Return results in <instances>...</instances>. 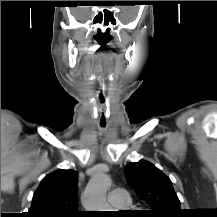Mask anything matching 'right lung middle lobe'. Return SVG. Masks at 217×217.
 Returning <instances> with one entry per match:
<instances>
[{
	"label": "right lung middle lobe",
	"mask_w": 217,
	"mask_h": 217,
	"mask_svg": "<svg viewBox=\"0 0 217 217\" xmlns=\"http://www.w3.org/2000/svg\"><path fill=\"white\" fill-rule=\"evenodd\" d=\"M63 217H77L75 215H64Z\"/></svg>",
	"instance_id": "right-lung-middle-lobe-1"
}]
</instances>
